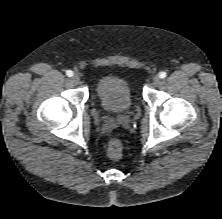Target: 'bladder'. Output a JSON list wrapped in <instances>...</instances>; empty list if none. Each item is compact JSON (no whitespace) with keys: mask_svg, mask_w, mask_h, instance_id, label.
<instances>
[{"mask_svg":"<svg viewBox=\"0 0 222 219\" xmlns=\"http://www.w3.org/2000/svg\"><path fill=\"white\" fill-rule=\"evenodd\" d=\"M95 91L102 109L110 114H124L132 107L133 96L124 76L105 75L97 81Z\"/></svg>","mask_w":222,"mask_h":219,"instance_id":"bladder-1","label":"bladder"}]
</instances>
